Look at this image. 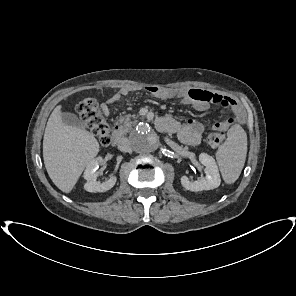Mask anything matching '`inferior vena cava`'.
I'll list each match as a JSON object with an SVG mask.
<instances>
[{
    "label": "inferior vena cava",
    "mask_w": 296,
    "mask_h": 296,
    "mask_svg": "<svg viewBox=\"0 0 296 296\" xmlns=\"http://www.w3.org/2000/svg\"><path fill=\"white\" fill-rule=\"evenodd\" d=\"M118 148L123 152H128L131 149V142L128 138L124 137L120 140Z\"/></svg>",
    "instance_id": "obj_1"
}]
</instances>
